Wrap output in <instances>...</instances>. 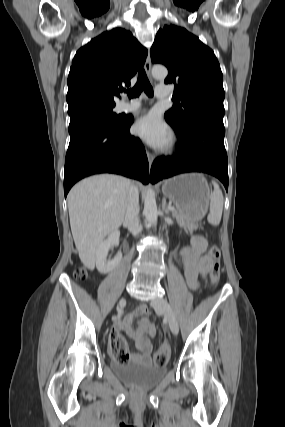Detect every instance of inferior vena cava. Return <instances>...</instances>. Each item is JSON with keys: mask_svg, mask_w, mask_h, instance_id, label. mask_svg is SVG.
I'll use <instances>...</instances> for the list:
<instances>
[{"mask_svg": "<svg viewBox=\"0 0 285 427\" xmlns=\"http://www.w3.org/2000/svg\"><path fill=\"white\" fill-rule=\"evenodd\" d=\"M139 210L138 188L131 184L128 193V202L124 223L133 235L139 234L142 230L141 226L139 225Z\"/></svg>", "mask_w": 285, "mask_h": 427, "instance_id": "inferior-vena-cava-1", "label": "inferior vena cava"}]
</instances>
